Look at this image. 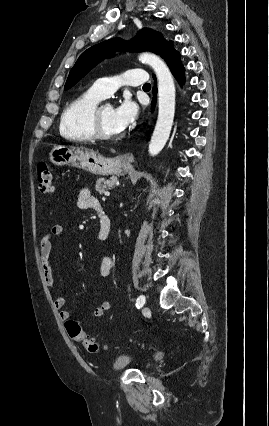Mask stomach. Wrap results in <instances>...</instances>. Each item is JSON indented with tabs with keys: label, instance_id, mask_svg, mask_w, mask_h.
Instances as JSON below:
<instances>
[{
	"label": "stomach",
	"instance_id": "obj_1",
	"mask_svg": "<svg viewBox=\"0 0 269 426\" xmlns=\"http://www.w3.org/2000/svg\"><path fill=\"white\" fill-rule=\"evenodd\" d=\"M48 155L53 165L78 167L96 175H125L130 167L119 157L105 158L83 147L54 145Z\"/></svg>",
	"mask_w": 269,
	"mask_h": 426
}]
</instances>
